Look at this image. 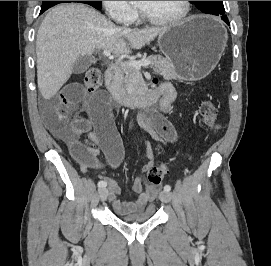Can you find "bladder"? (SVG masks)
Here are the masks:
<instances>
[{
    "instance_id": "bladder-1",
    "label": "bladder",
    "mask_w": 271,
    "mask_h": 266,
    "mask_svg": "<svg viewBox=\"0 0 271 266\" xmlns=\"http://www.w3.org/2000/svg\"><path fill=\"white\" fill-rule=\"evenodd\" d=\"M154 215H155L154 208L149 207L147 210L139 212L134 215H128V216L116 215V217L120 219L121 221L127 222V223H142V222H146L152 219Z\"/></svg>"
}]
</instances>
